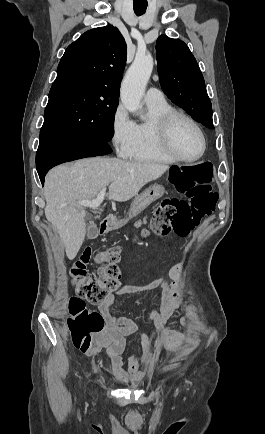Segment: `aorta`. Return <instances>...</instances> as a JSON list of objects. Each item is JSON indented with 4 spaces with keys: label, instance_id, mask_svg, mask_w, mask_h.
Listing matches in <instances>:
<instances>
[{
    "label": "aorta",
    "instance_id": "1",
    "mask_svg": "<svg viewBox=\"0 0 265 434\" xmlns=\"http://www.w3.org/2000/svg\"><path fill=\"white\" fill-rule=\"evenodd\" d=\"M152 56H135L133 64L127 70L120 88V98L128 112H137L143 98L147 82L153 72Z\"/></svg>",
    "mask_w": 265,
    "mask_h": 434
}]
</instances>
